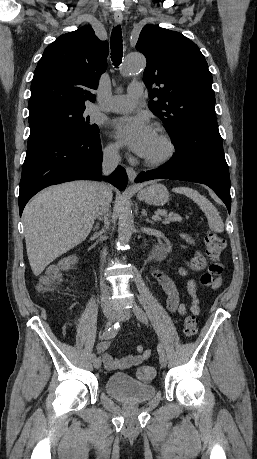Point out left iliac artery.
<instances>
[{
	"label": "left iliac artery",
	"instance_id": "obj_1",
	"mask_svg": "<svg viewBox=\"0 0 257 459\" xmlns=\"http://www.w3.org/2000/svg\"><path fill=\"white\" fill-rule=\"evenodd\" d=\"M133 310H134V313H135L137 319H139L142 323L148 324L147 316H146L145 312L139 306L135 305L133 307ZM157 351H158L159 354H164V348H163V345L161 343H158Z\"/></svg>",
	"mask_w": 257,
	"mask_h": 459
}]
</instances>
